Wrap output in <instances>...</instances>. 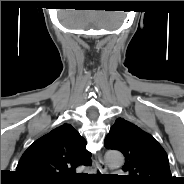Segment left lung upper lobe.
Masks as SVG:
<instances>
[{
    "instance_id": "left-lung-upper-lobe-1",
    "label": "left lung upper lobe",
    "mask_w": 184,
    "mask_h": 184,
    "mask_svg": "<svg viewBox=\"0 0 184 184\" xmlns=\"http://www.w3.org/2000/svg\"><path fill=\"white\" fill-rule=\"evenodd\" d=\"M105 147L125 156V178L132 184H171L168 156L154 137L133 123L118 118L105 138Z\"/></svg>"
}]
</instances>
